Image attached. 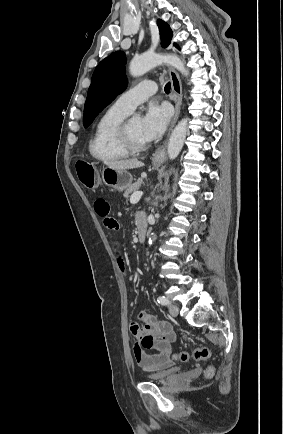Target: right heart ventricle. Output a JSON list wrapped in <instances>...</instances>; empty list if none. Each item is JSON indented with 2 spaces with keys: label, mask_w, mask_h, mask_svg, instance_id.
Here are the masks:
<instances>
[{
  "label": "right heart ventricle",
  "mask_w": 283,
  "mask_h": 434,
  "mask_svg": "<svg viewBox=\"0 0 283 434\" xmlns=\"http://www.w3.org/2000/svg\"><path fill=\"white\" fill-rule=\"evenodd\" d=\"M129 113L113 105L101 115L89 142V152L94 159L114 162L129 156L130 152L123 147L118 135L120 125Z\"/></svg>",
  "instance_id": "1"
}]
</instances>
